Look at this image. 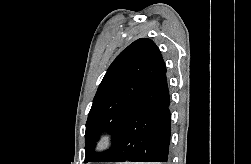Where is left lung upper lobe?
Listing matches in <instances>:
<instances>
[{
    "mask_svg": "<svg viewBox=\"0 0 251 164\" xmlns=\"http://www.w3.org/2000/svg\"><path fill=\"white\" fill-rule=\"evenodd\" d=\"M165 71L158 47L147 38L134 41L116 57L99 85L88 115L85 162L107 159L114 145L103 154H94L93 140L100 132L109 131L115 144L133 104Z\"/></svg>",
    "mask_w": 251,
    "mask_h": 164,
    "instance_id": "left-lung-upper-lobe-1",
    "label": "left lung upper lobe"
}]
</instances>
